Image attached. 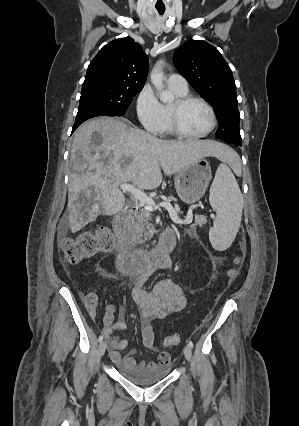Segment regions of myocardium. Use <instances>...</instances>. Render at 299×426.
<instances>
[{"mask_svg":"<svg viewBox=\"0 0 299 426\" xmlns=\"http://www.w3.org/2000/svg\"><path fill=\"white\" fill-rule=\"evenodd\" d=\"M191 102H199L203 104L210 113L211 125L209 129L203 133H200V134L188 133L181 126V123H180L181 110ZM170 121H171L173 132L176 135L182 138H187V139L204 138L208 136L209 134H211L217 126V116L212 105L204 98L200 96H195V95H185V96L178 97L175 100V102L170 106Z\"/></svg>","mask_w":299,"mask_h":426,"instance_id":"myocardium-1","label":"myocardium"}]
</instances>
